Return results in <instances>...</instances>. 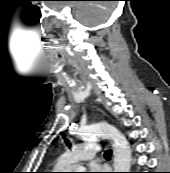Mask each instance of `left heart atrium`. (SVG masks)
Returning a JSON list of instances; mask_svg holds the SVG:
<instances>
[{
	"label": "left heart atrium",
	"mask_w": 170,
	"mask_h": 173,
	"mask_svg": "<svg viewBox=\"0 0 170 173\" xmlns=\"http://www.w3.org/2000/svg\"><path fill=\"white\" fill-rule=\"evenodd\" d=\"M89 170H90L91 173H102L104 171V168L97 165V164H92L89 167Z\"/></svg>",
	"instance_id": "obj_1"
}]
</instances>
